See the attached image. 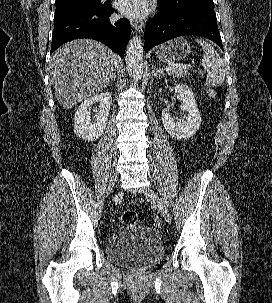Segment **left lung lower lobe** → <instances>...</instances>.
Returning a JSON list of instances; mask_svg holds the SVG:
<instances>
[{"label": "left lung lower lobe", "instance_id": "left-lung-lower-lobe-1", "mask_svg": "<svg viewBox=\"0 0 272 303\" xmlns=\"http://www.w3.org/2000/svg\"><path fill=\"white\" fill-rule=\"evenodd\" d=\"M182 35L208 38L223 49L214 10L189 9L171 13L160 8V13L146 24L144 50Z\"/></svg>", "mask_w": 272, "mask_h": 303}]
</instances>
